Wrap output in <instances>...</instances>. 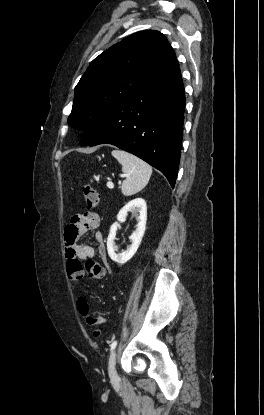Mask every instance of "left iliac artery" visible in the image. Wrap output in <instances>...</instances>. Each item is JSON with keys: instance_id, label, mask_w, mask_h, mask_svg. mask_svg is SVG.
I'll return each instance as SVG.
<instances>
[{"instance_id": "1", "label": "left iliac artery", "mask_w": 264, "mask_h": 415, "mask_svg": "<svg viewBox=\"0 0 264 415\" xmlns=\"http://www.w3.org/2000/svg\"><path fill=\"white\" fill-rule=\"evenodd\" d=\"M116 345H117V341L116 340L111 343V345H110L111 351L113 349H115Z\"/></svg>"}]
</instances>
